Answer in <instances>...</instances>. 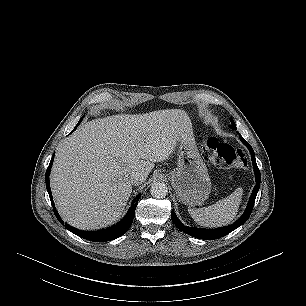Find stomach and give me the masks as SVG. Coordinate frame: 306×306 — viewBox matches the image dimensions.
Wrapping results in <instances>:
<instances>
[{"label":"stomach","mask_w":306,"mask_h":306,"mask_svg":"<svg viewBox=\"0 0 306 306\" xmlns=\"http://www.w3.org/2000/svg\"><path fill=\"white\" fill-rule=\"evenodd\" d=\"M177 155V167L168 174L177 198L187 206L200 205L209 197L211 180L193 133L181 139Z\"/></svg>","instance_id":"stomach-1"}]
</instances>
